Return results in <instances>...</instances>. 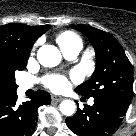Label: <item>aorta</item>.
<instances>
[{"mask_svg": "<svg viewBox=\"0 0 136 136\" xmlns=\"http://www.w3.org/2000/svg\"><path fill=\"white\" fill-rule=\"evenodd\" d=\"M37 59L44 67H55L61 61V53L53 45H44L37 52ZM60 112L65 116H72L75 113L76 105L72 100H64L60 103Z\"/></svg>", "mask_w": 136, "mask_h": 136, "instance_id": "762f6f07", "label": "aorta"}]
</instances>
